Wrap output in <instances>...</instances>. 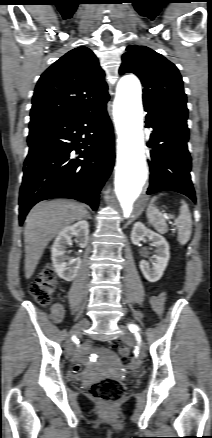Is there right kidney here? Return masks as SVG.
Listing matches in <instances>:
<instances>
[{
    "mask_svg": "<svg viewBox=\"0 0 212 438\" xmlns=\"http://www.w3.org/2000/svg\"><path fill=\"white\" fill-rule=\"evenodd\" d=\"M89 224L81 220L77 223L64 228L51 247L52 262L58 276L65 281H72L78 272L81 265V259L75 258L68 261L69 258L65 255L66 246L71 243V237L76 236L81 248H84L88 243Z\"/></svg>",
    "mask_w": 212,
    "mask_h": 438,
    "instance_id": "ca27d5eb",
    "label": "right kidney"
}]
</instances>
